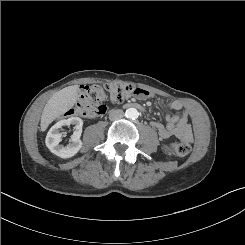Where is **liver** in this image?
<instances>
[{
	"label": "liver",
	"mask_w": 245,
	"mask_h": 245,
	"mask_svg": "<svg viewBox=\"0 0 245 245\" xmlns=\"http://www.w3.org/2000/svg\"><path fill=\"white\" fill-rule=\"evenodd\" d=\"M77 95V85L63 88L53 94L43 109L40 130L45 131L51 122L72 108L77 101Z\"/></svg>",
	"instance_id": "1"
}]
</instances>
